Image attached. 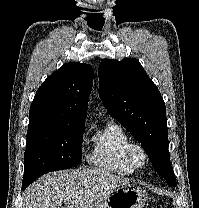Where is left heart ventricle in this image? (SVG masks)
Segmentation results:
<instances>
[{
	"mask_svg": "<svg viewBox=\"0 0 199 208\" xmlns=\"http://www.w3.org/2000/svg\"><path fill=\"white\" fill-rule=\"evenodd\" d=\"M137 159H141V154L139 152L135 153Z\"/></svg>",
	"mask_w": 199,
	"mask_h": 208,
	"instance_id": "left-heart-ventricle-1",
	"label": "left heart ventricle"
}]
</instances>
